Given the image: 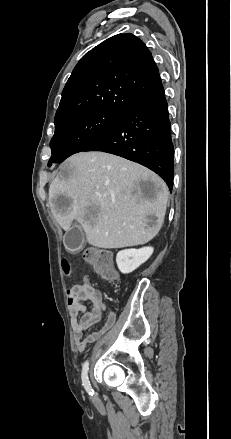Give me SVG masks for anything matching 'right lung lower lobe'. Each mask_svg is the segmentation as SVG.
I'll return each instance as SVG.
<instances>
[{"mask_svg": "<svg viewBox=\"0 0 231 439\" xmlns=\"http://www.w3.org/2000/svg\"><path fill=\"white\" fill-rule=\"evenodd\" d=\"M84 151H102L137 162L164 179L172 190L174 146L164 90L132 105Z\"/></svg>", "mask_w": 231, "mask_h": 439, "instance_id": "1", "label": "right lung lower lobe"}]
</instances>
